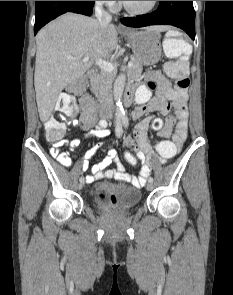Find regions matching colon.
<instances>
[{"mask_svg": "<svg viewBox=\"0 0 233 295\" xmlns=\"http://www.w3.org/2000/svg\"><path fill=\"white\" fill-rule=\"evenodd\" d=\"M163 49L168 59L165 71L175 81L172 92L176 95L183 94L187 92L190 85L188 61L192 46L183 34L170 31L164 38ZM85 86V78H79L68 87L69 93H64L58 98L53 114L45 122L46 138L52 145L59 144L66 131V124L61 118L72 116L75 113L72 94L83 93ZM160 136L167 138L169 130L164 129ZM157 151L161 157L171 158L175 155L177 149L171 141L163 140L157 144ZM123 157L129 166H135L138 162L136 156L129 151H125Z\"/></svg>", "mask_w": 233, "mask_h": 295, "instance_id": "5ec220e1", "label": "colon"}]
</instances>
